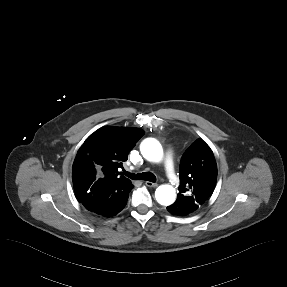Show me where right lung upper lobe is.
Wrapping results in <instances>:
<instances>
[{
	"instance_id": "obj_1",
	"label": "right lung upper lobe",
	"mask_w": 287,
	"mask_h": 287,
	"mask_svg": "<svg viewBox=\"0 0 287 287\" xmlns=\"http://www.w3.org/2000/svg\"><path fill=\"white\" fill-rule=\"evenodd\" d=\"M138 128L105 126L91 134L79 149L73 163L72 180L77 200H85L92 185L122 182L132 184L120 168L143 136Z\"/></svg>"
}]
</instances>
